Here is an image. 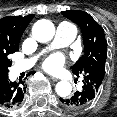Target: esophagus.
<instances>
[{
  "label": "esophagus",
  "mask_w": 117,
  "mask_h": 117,
  "mask_svg": "<svg viewBox=\"0 0 117 117\" xmlns=\"http://www.w3.org/2000/svg\"><path fill=\"white\" fill-rule=\"evenodd\" d=\"M50 79H51L52 81H54V82H57V81H59V79H58V78H56V77H53V76H50Z\"/></svg>",
  "instance_id": "1"
}]
</instances>
